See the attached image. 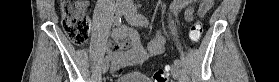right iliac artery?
Wrapping results in <instances>:
<instances>
[{
    "mask_svg": "<svg viewBox=\"0 0 279 82\" xmlns=\"http://www.w3.org/2000/svg\"><path fill=\"white\" fill-rule=\"evenodd\" d=\"M113 22H114V26L119 27L121 25V18H120V16L116 15L114 17ZM104 60L105 61H109V56L106 55Z\"/></svg>",
    "mask_w": 279,
    "mask_h": 82,
    "instance_id": "1",
    "label": "right iliac artery"
}]
</instances>
